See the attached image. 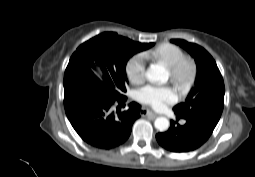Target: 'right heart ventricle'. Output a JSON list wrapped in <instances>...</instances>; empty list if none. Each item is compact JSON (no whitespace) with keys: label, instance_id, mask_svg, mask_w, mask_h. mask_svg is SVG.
Instances as JSON below:
<instances>
[{"label":"right heart ventricle","instance_id":"obj_1","mask_svg":"<svg viewBox=\"0 0 255 177\" xmlns=\"http://www.w3.org/2000/svg\"><path fill=\"white\" fill-rule=\"evenodd\" d=\"M149 56L165 64L167 67L175 64L181 58L185 57L184 51L177 45L165 43L159 45L148 53Z\"/></svg>","mask_w":255,"mask_h":177}]
</instances>
